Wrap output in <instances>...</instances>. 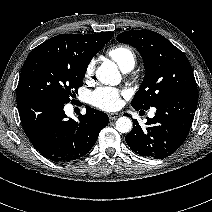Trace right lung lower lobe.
Instances as JSON below:
<instances>
[{"instance_id": "obj_1", "label": "right lung lower lobe", "mask_w": 212, "mask_h": 212, "mask_svg": "<svg viewBox=\"0 0 212 212\" xmlns=\"http://www.w3.org/2000/svg\"><path fill=\"white\" fill-rule=\"evenodd\" d=\"M16 101L27 137L42 156L54 162H70L86 155L109 122L107 114L91 107H86L78 122L67 119L65 103L52 98L25 96Z\"/></svg>"}]
</instances>
